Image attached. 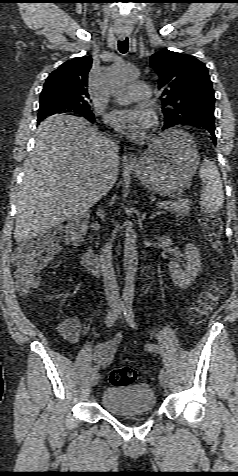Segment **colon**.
<instances>
[{"label": "colon", "instance_id": "1", "mask_svg": "<svg viewBox=\"0 0 238 476\" xmlns=\"http://www.w3.org/2000/svg\"><path fill=\"white\" fill-rule=\"evenodd\" d=\"M207 238L218 247L222 232L221 220L214 215H204L201 219ZM61 231L55 227L35 241L21 244L14 253L16 284L22 294L39 284V271L54 257L58 250ZM224 290V281L218 278L214 285L204 291L189 310V320L197 325L202 323L212 308L218 303ZM137 371L132 367L113 369L109 382L113 385H129L137 380Z\"/></svg>", "mask_w": 238, "mask_h": 476}]
</instances>
